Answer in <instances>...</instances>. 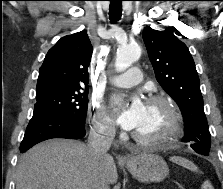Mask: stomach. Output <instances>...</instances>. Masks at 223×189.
<instances>
[{"label": "stomach", "instance_id": "0dacf381", "mask_svg": "<svg viewBox=\"0 0 223 189\" xmlns=\"http://www.w3.org/2000/svg\"><path fill=\"white\" fill-rule=\"evenodd\" d=\"M126 165L133 177L140 182H160L169 173L168 166L162 157L147 152L130 158Z\"/></svg>", "mask_w": 223, "mask_h": 189}]
</instances>
